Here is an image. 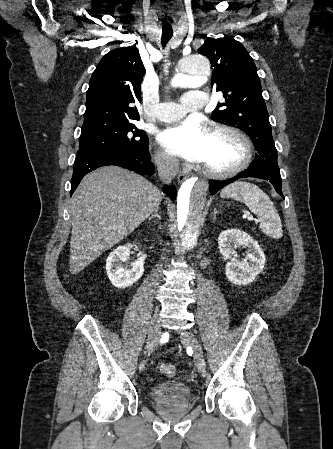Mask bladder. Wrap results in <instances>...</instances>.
I'll list each match as a JSON object with an SVG mask.
<instances>
[{"instance_id": "obj_1", "label": "bladder", "mask_w": 333, "mask_h": 449, "mask_svg": "<svg viewBox=\"0 0 333 449\" xmlns=\"http://www.w3.org/2000/svg\"><path fill=\"white\" fill-rule=\"evenodd\" d=\"M150 400L155 404L169 402L186 404L193 399L192 389L181 381H163L152 385L148 390Z\"/></svg>"}]
</instances>
